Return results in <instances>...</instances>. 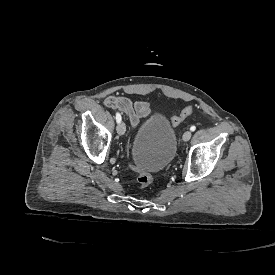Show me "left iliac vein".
I'll return each instance as SVG.
<instances>
[{"instance_id":"left-iliac-vein-1","label":"left iliac vein","mask_w":275,"mask_h":275,"mask_svg":"<svg viewBox=\"0 0 275 275\" xmlns=\"http://www.w3.org/2000/svg\"><path fill=\"white\" fill-rule=\"evenodd\" d=\"M191 136H192L191 131H186V132L183 134V140H184L185 142H187V141L190 140Z\"/></svg>"}]
</instances>
